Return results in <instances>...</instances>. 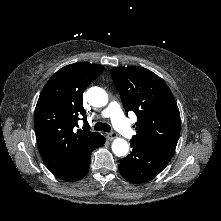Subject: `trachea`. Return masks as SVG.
Masks as SVG:
<instances>
[{
  "instance_id": "1",
  "label": "trachea",
  "mask_w": 221,
  "mask_h": 221,
  "mask_svg": "<svg viewBox=\"0 0 221 221\" xmlns=\"http://www.w3.org/2000/svg\"><path fill=\"white\" fill-rule=\"evenodd\" d=\"M94 130H96V131L103 130L104 132H110L111 128H110V125H108L107 123L98 122L95 124Z\"/></svg>"
}]
</instances>
